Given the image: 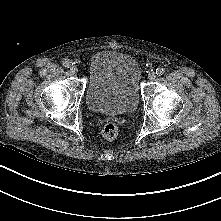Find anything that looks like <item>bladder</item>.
I'll use <instances>...</instances> for the list:
<instances>
[{
  "label": "bladder",
  "mask_w": 221,
  "mask_h": 221,
  "mask_svg": "<svg viewBox=\"0 0 221 221\" xmlns=\"http://www.w3.org/2000/svg\"><path fill=\"white\" fill-rule=\"evenodd\" d=\"M141 75L140 64L133 56L116 50L96 52L88 64V108L108 115L134 112L139 103Z\"/></svg>",
  "instance_id": "1"
}]
</instances>
